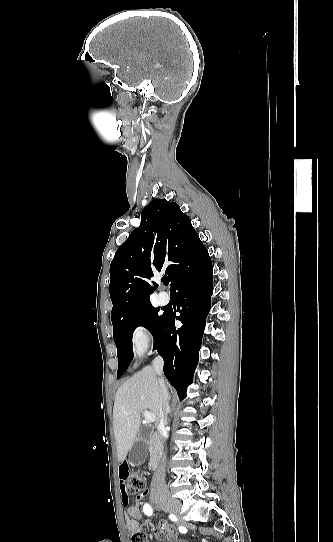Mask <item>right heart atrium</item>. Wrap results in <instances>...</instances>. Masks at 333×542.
<instances>
[{
	"label": "right heart atrium",
	"instance_id": "right-heart-atrium-1",
	"mask_svg": "<svg viewBox=\"0 0 333 542\" xmlns=\"http://www.w3.org/2000/svg\"><path fill=\"white\" fill-rule=\"evenodd\" d=\"M135 348L141 353H147L151 348L152 334L145 325H139L133 333Z\"/></svg>",
	"mask_w": 333,
	"mask_h": 542
}]
</instances>
